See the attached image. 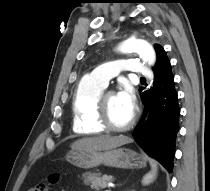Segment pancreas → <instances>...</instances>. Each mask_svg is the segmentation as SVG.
<instances>
[{"label": "pancreas", "mask_w": 210, "mask_h": 191, "mask_svg": "<svg viewBox=\"0 0 210 191\" xmlns=\"http://www.w3.org/2000/svg\"><path fill=\"white\" fill-rule=\"evenodd\" d=\"M83 181L85 184L90 185L92 189L98 191L106 188L108 183L113 181V177L108 175L100 177L99 174L85 173L83 174Z\"/></svg>", "instance_id": "obj_1"}]
</instances>
